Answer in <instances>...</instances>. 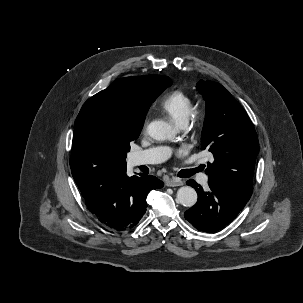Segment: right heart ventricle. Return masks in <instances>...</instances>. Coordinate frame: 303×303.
<instances>
[{
  "label": "right heart ventricle",
  "instance_id": "obj_1",
  "mask_svg": "<svg viewBox=\"0 0 303 303\" xmlns=\"http://www.w3.org/2000/svg\"><path fill=\"white\" fill-rule=\"evenodd\" d=\"M160 110L175 124L185 125L194 107L192 97L186 92L176 89L166 94L160 102Z\"/></svg>",
  "mask_w": 303,
  "mask_h": 303
}]
</instances>
